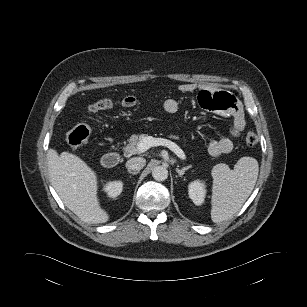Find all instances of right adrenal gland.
I'll list each match as a JSON object with an SVG mask.
<instances>
[{
    "label": "right adrenal gland",
    "mask_w": 307,
    "mask_h": 307,
    "mask_svg": "<svg viewBox=\"0 0 307 307\" xmlns=\"http://www.w3.org/2000/svg\"><path fill=\"white\" fill-rule=\"evenodd\" d=\"M128 172H129L130 174H133V175H136V174L139 173V171H131V170H128Z\"/></svg>",
    "instance_id": "2a0ac1e0"
}]
</instances>
